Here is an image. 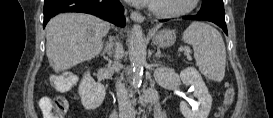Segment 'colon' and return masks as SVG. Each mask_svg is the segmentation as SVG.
I'll return each mask as SVG.
<instances>
[{
    "label": "colon",
    "instance_id": "5ec220e1",
    "mask_svg": "<svg viewBox=\"0 0 273 118\" xmlns=\"http://www.w3.org/2000/svg\"><path fill=\"white\" fill-rule=\"evenodd\" d=\"M54 82L59 88H64L71 85V81L69 79L54 78ZM233 99L234 91L232 88H229L225 93L224 105L219 114L220 117L223 116L224 112L231 105ZM39 106L45 118H62L66 110L65 100L59 96L45 97L40 101Z\"/></svg>",
    "mask_w": 273,
    "mask_h": 118
}]
</instances>
